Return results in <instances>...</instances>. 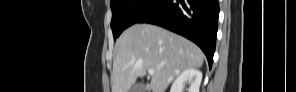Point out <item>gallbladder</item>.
<instances>
[{
	"label": "gallbladder",
	"mask_w": 296,
	"mask_h": 92,
	"mask_svg": "<svg viewBox=\"0 0 296 92\" xmlns=\"http://www.w3.org/2000/svg\"><path fill=\"white\" fill-rule=\"evenodd\" d=\"M145 86L143 84H135L131 88L130 92H144Z\"/></svg>",
	"instance_id": "obj_1"
}]
</instances>
